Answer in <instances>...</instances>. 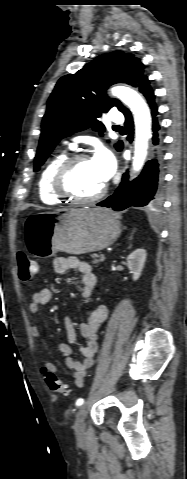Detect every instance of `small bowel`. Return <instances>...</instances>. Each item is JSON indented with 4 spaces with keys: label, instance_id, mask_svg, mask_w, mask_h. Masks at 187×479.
Segmentation results:
<instances>
[{
    "label": "small bowel",
    "instance_id": "small-bowel-1",
    "mask_svg": "<svg viewBox=\"0 0 187 479\" xmlns=\"http://www.w3.org/2000/svg\"><path fill=\"white\" fill-rule=\"evenodd\" d=\"M53 267L55 272L59 274L66 273L72 269L77 270L81 276L77 285V293L82 298L91 297L97 279L88 262L82 261L77 257H58L54 259ZM52 297L53 291L49 288L35 292L28 305L29 313L37 315L40 311V307L48 304ZM107 316V306L100 304L90 313L87 320L80 325V334L85 339V344L79 343L73 320L68 316L64 320L67 341L59 343L57 349L64 356L65 365L70 371L77 387H83L86 375L94 364L98 351V331L107 319ZM31 335L34 340L39 341L41 338L40 328L33 326L31 328ZM75 350H78L83 356L82 360H77L73 357ZM46 373H56V366L49 360H45L41 368L43 377Z\"/></svg>",
    "mask_w": 187,
    "mask_h": 479
}]
</instances>
